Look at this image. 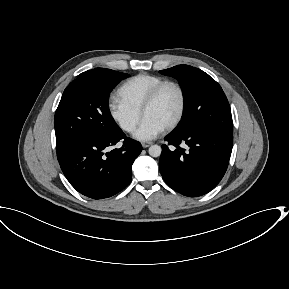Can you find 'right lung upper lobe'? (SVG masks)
Returning a JSON list of instances; mask_svg holds the SVG:
<instances>
[{"label":"right lung upper lobe","mask_w":289,"mask_h":289,"mask_svg":"<svg viewBox=\"0 0 289 289\" xmlns=\"http://www.w3.org/2000/svg\"><path fill=\"white\" fill-rule=\"evenodd\" d=\"M110 70L111 69L96 68V69L89 70V71H86L83 73H85V74H103V73L109 72Z\"/></svg>","instance_id":"obj_1"}]
</instances>
